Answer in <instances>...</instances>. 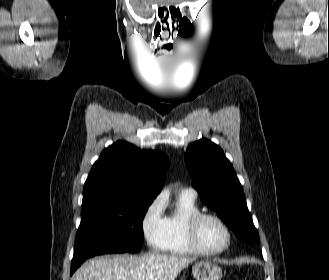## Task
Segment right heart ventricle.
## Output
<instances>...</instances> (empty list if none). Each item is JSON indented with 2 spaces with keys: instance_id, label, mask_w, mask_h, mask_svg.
<instances>
[{
  "instance_id": "1",
  "label": "right heart ventricle",
  "mask_w": 329,
  "mask_h": 280,
  "mask_svg": "<svg viewBox=\"0 0 329 280\" xmlns=\"http://www.w3.org/2000/svg\"><path fill=\"white\" fill-rule=\"evenodd\" d=\"M200 212L196 197L182 191L176 197L174 209L166 216V235L162 250L181 256L196 254L187 238L189 218Z\"/></svg>"
}]
</instances>
